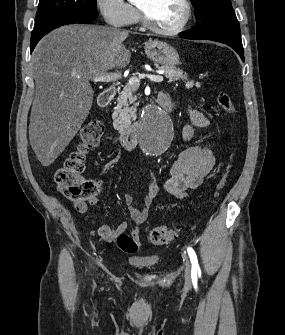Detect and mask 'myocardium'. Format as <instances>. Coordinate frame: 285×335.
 <instances>
[{
	"label": "myocardium",
	"instance_id": "1",
	"mask_svg": "<svg viewBox=\"0 0 285 335\" xmlns=\"http://www.w3.org/2000/svg\"><path fill=\"white\" fill-rule=\"evenodd\" d=\"M182 4L185 9V17L183 21L175 28L164 29L155 26L149 17L148 9L145 1H138V9L140 13V22L144 29L149 31L152 34L164 35V36H174L183 32L188 26L192 18V7L189 1H178Z\"/></svg>",
	"mask_w": 285,
	"mask_h": 335
}]
</instances>
